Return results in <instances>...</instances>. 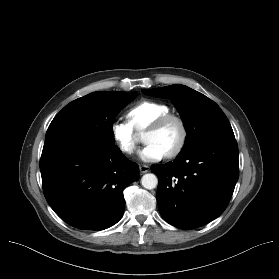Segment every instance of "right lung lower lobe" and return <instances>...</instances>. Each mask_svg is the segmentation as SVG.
Masks as SVG:
<instances>
[{
	"instance_id": "obj_1",
	"label": "right lung lower lobe",
	"mask_w": 279,
	"mask_h": 279,
	"mask_svg": "<svg viewBox=\"0 0 279 279\" xmlns=\"http://www.w3.org/2000/svg\"><path fill=\"white\" fill-rule=\"evenodd\" d=\"M40 170L54 212L75 228L96 231L121 219L123 190L139 176L138 165L117 146L102 147L72 136L45 142Z\"/></svg>"
}]
</instances>
